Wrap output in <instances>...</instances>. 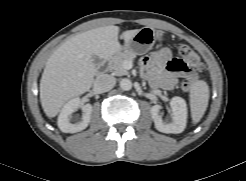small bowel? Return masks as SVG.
Masks as SVG:
<instances>
[{
  "instance_id": "1",
  "label": "small bowel",
  "mask_w": 246,
  "mask_h": 181,
  "mask_svg": "<svg viewBox=\"0 0 246 181\" xmlns=\"http://www.w3.org/2000/svg\"><path fill=\"white\" fill-rule=\"evenodd\" d=\"M141 66L151 84L164 89L173 88L180 77L188 74L185 62L174 58L167 48L144 56Z\"/></svg>"
}]
</instances>
